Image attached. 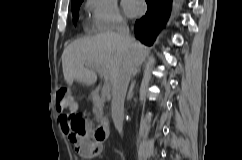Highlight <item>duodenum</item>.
Returning <instances> with one entry per match:
<instances>
[{
    "label": "duodenum",
    "mask_w": 242,
    "mask_h": 160,
    "mask_svg": "<svg viewBox=\"0 0 242 160\" xmlns=\"http://www.w3.org/2000/svg\"><path fill=\"white\" fill-rule=\"evenodd\" d=\"M92 98L94 103L99 106L101 103V98L98 91L94 90L92 92ZM109 124L106 121H101L92 129V135L94 136L95 140L99 143L105 142L109 137Z\"/></svg>",
    "instance_id": "1"
}]
</instances>
